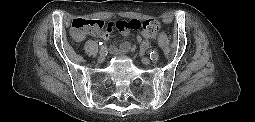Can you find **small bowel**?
<instances>
[{"label":"small bowel","instance_id":"1","mask_svg":"<svg viewBox=\"0 0 255 122\" xmlns=\"http://www.w3.org/2000/svg\"><path fill=\"white\" fill-rule=\"evenodd\" d=\"M120 33L123 35V36H126L128 35L129 33V29L128 28H122V29H119ZM90 34L92 35H96L104 40H108L110 38V30H103V31H90L89 32ZM152 37H147L145 35H143L141 32H139V34L137 35V40L138 42H140V48L141 50H145L148 48L149 46V41L148 39H150ZM113 52L117 53V54H125L129 51H132L133 50V47L127 43V42H123V43H120L119 45L117 46H114L112 48Z\"/></svg>","mask_w":255,"mask_h":122}]
</instances>
